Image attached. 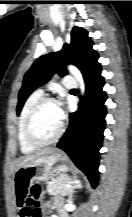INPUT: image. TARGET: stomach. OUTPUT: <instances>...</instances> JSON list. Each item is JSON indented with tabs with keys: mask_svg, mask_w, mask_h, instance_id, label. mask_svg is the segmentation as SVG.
Here are the masks:
<instances>
[{
	"mask_svg": "<svg viewBox=\"0 0 132 217\" xmlns=\"http://www.w3.org/2000/svg\"><path fill=\"white\" fill-rule=\"evenodd\" d=\"M70 170V160L62 151L41 156L18 168L13 182L16 188L29 187L35 181H47Z\"/></svg>",
	"mask_w": 132,
	"mask_h": 217,
	"instance_id": "0dacf381",
	"label": "stomach"
}]
</instances>
